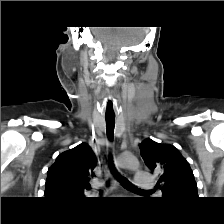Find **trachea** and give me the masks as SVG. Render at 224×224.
Listing matches in <instances>:
<instances>
[{"instance_id":"obj_1","label":"trachea","mask_w":224,"mask_h":224,"mask_svg":"<svg viewBox=\"0 0 224 224\" xmlns=\"http://www.w3.org/2000/svg\"><path fill=\"white\" fill-rule=\"evenodd\" d=\"M106 120V132H107V137L110 141H112L113 139V135H114V127H115V117H105ZM110 167L111 170L116 174V176L118 177V179L120 180V182L122 183V185L129 189V190H141L135 186H133L125 177H122L121 175L117 174L114 164H113V160H112V156L110 157Z\"/></svg>"}]
</instances>
